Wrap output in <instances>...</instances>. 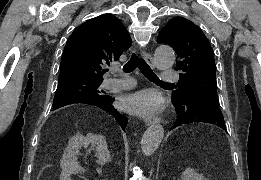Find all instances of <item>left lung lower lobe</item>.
<instances>
[{
	"label": "left lung lower lobe",
	"mask_w": 261,
	"mask_h": 180,
	"mask_svg": "<svg viewBox=\"0 0 261 180\" xmlns=\"http://www.w3.org/2000/svg\"><path fill=\"white\" fill-rule=\"evenodd\" d=\"M177 119L173 128L193 123L204 122L214 124L226 130L224 118L219 108V103L203 99L194 92H187L182 99H173Z\"/></svg>",
	"instance_id": "0a47b994"
}]
</instances>
